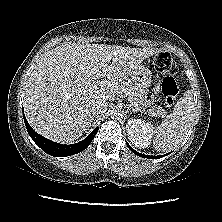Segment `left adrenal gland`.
<instances>
[{
	"label": "left adrenal gland",
	"instance_id": "1",
	"mask_svg": "<svg viewBox=\"0 0 222 222\" xmlns=\"http://www.w3.org/2000/svg\"><path fill=\"white\" fill-rule=\"evenodd\" d=\"M127 110L128 111H133V112H138L135 108H133L130 104L127 105Z\"/></svg>",
	"mask_w": 222,
	"mask_h": 222
}]
</instances>
